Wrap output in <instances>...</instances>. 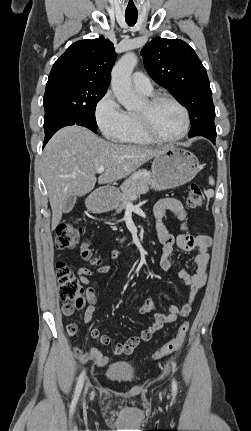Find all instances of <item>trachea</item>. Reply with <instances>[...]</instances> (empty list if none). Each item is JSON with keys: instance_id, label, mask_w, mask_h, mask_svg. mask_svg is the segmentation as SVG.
<instances>
[{"instance_id": "trachea-1", "label": "trachea", "mask_w": 251, "mask_h": 431, "mask_svg": "<svg viewBox=\"0 0 251 431\" xmlns=\"http://www.w3.org/2000/svg\"><path fill=\"white\" fill-rule=\"evenodd\" d=\"M137 17H138V14L136 13L125 14L126 23L129 26H133L137 21Z\"/></svg>"}]
</instances>
